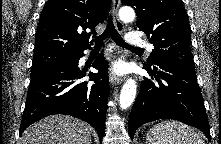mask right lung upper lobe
I'll use <instances>...</instances> for the list:
<instances>
[{"label": "right lung upper lobe", "mask_w": 221, "mask_h": 144, "mask_svg": "<svg viewBox=\"0 0 221 144\" xmlns=\"http://www.w3.org/2000/svg\"><path fill=\"white\" fill-rule=\"evenodd\" d=\"M110 6L111 0H48L37 27L34 54H77L89 48V37L96 35L95 27L106 19Z\"/></svg>", "instance_id": "cb5924a9"}]
</instances>
